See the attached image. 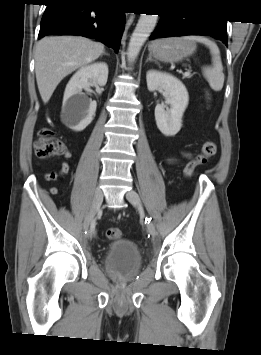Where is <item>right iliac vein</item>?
Wrapping results in <instances>:
<instances>
[{
  "label": "right iliac vein",
  "mask_w": 261,
  "mask_h": 355,
  "mask_svg": "<svg viewBox=\"0 0 261 355\" xmlns=\"http://www.w3.org/2000/svg\"><path fill=\"white\" fill-rule=\"evenodd\" d=\"M102 201H103V192L100 187H97L94 191V196L92 199L90 209L84 220V225H83L84 230H87L90 227L95 214L97 213V211L101 206Z\"/></svg>",
  "instance_id": "obj_1"
}]
</instances>
